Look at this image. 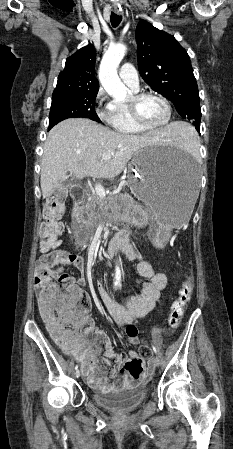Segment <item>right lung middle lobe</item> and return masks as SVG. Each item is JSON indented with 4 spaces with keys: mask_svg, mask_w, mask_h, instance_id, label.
<instances>
[{
    "mask_svg": "<svg viewBox=\"0 0 233 449\" xmlns=\"http://www.w3.org/2000/svg\"><path fill=\"white\" fill-rule=\"evenodd\" d=\"M98 91L59 93L52 96L49 129L58 122L73 117H85L101 122L95 112Z\"/></svg>",
    "mask_w": 233,
    "mask_h": 449,
    "instance_id": "right-lung-middle-lobe-1",
    "label": "right lung middle lobe"
}]
</instances>
